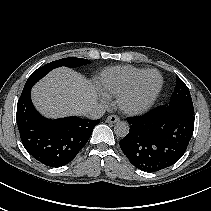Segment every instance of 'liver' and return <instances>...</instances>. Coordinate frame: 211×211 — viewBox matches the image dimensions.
I'll use <instances>...</instances> for the list:
<instances>
[{"label":"liver","instance_id":"liver-1","mask_svg":"<svg viewBox=\"0 0 211 211\" xmlns=\"http://www.w3.org/2000/svg\"><path fill=\"white\" fill-rule=\"evenodd\" d=\"M35 107L46 117L83 115L97 100V91L81 74L58 68L50 72L32 89Z\"/></svg>","mask_w":211,"mask_h":211}]
</instances>
